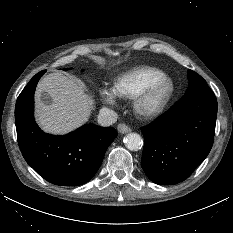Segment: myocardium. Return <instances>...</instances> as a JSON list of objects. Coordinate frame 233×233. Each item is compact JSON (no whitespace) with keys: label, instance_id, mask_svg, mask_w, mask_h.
<instances>
[{"label":"myocardium","instance_id":"1","mask_svg":"<svg viewBox=\"0 0 233 233\" xmlns=\"http://www.w3.org/2000/svg\"><path fill=\"white\" fill-rule=\"evenodd\" d=\"M171 78L162 76L147 85L134 97V110L144 119H153L161 115L174 94Z\"/></svg>","mask_w":233,"mask_h":233}]
</instances>
